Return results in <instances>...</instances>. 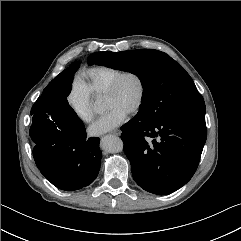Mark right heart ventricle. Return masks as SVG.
Here are the masks:
<instances>
[{
  "mask_svg": "<svg viewBox=\"0 0 241 241\" xmlns=\"http://www.w3.org/2000/svg\"><path fill=\"white\" fill-rule=\"evenodd\" d=\"M122 71L118 68L95 65L85 68L81 72L83 84L91 95L97 96L104 94L110 82Z\"/></svg>",
  "mask_w": 241,
  "mask_h": 241,
  "instance_id": "1",
  "label": "right heart ventricle"
}]
</instances>
